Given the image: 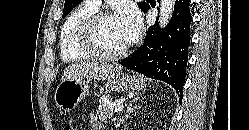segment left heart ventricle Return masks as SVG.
<instances>
[{
  "label": "left heart ventricle",
  "instance_id": "b2bd125f",
  "mask_svg": "<svg viewBox=\"0 0 249 130\" xmlns=\"http://www.w3.org/2000/svg\"><path fill=\"white\" fill-rule=\"evenodd\" d=\"M96 39L107 52H118L128 45L124 32L115 15L105 19L98 27Z\"/></svg>",
  "mask_w": 249,
  "mask_h": 130
}]
</instances>
